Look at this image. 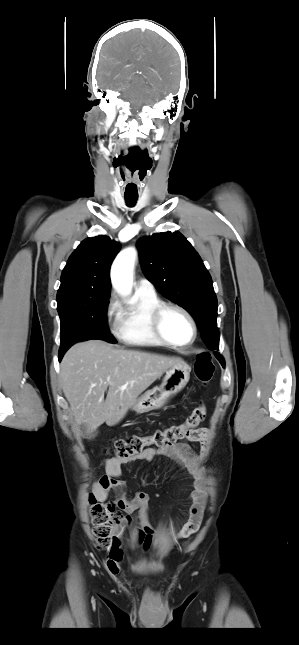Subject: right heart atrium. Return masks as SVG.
<instances>
[{
  "instance_id": "1",
  "label": "right heart atrium",
  "mask_w": 299,
  "mask_h": 645,
  "mask_svg": "<svg viewBox=\"0 0 299 645\" xmlns=\"http://www.w3.org/2000/svg\"><path fill=\"white\" fill-rule=\"evenodd\" d=\"M120 311V306L119 303L114 295H111L107 301L106 307H105V316L108 320L115 319V323H117V318L118 314Z\"/></svg>"
}]
</instances>
